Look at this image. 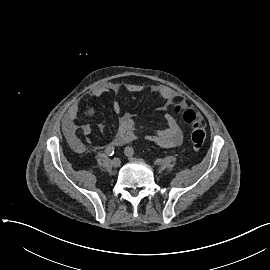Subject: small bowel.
Returning a JSON list of instances; mask_svg holds the SVG:
<instances>
[{"instance_id":"small-bowel-1","label":"small bowel","mask_w":270,"mask_h":270,"mask_svg":"<svg viewBox=\"0 0 270 270\" xmlns=\"http://www.w3.org/2000/svg\"><path fill=\"white\" fill-rule=\"evenodd\" d=\"M142 89L143 87L138 84H131L126 87H121L115 83H107L93 89L88 94V98H97L107 93L118 95L122 92H138ZM151 92L158 98L165 101V105L162 107V110H167L173 104L176 98V92L163 85L153 87ZM80 107V102L74 103L69 108L65 117V132L70 138L76 137L78 133L88 136L92 132L91 124H80L78 122ZM111 107L113 112L119 115L118 131L113 140V144L115 146H122L138 139L150 141L164 148H175L181 144L183 138V129L172 115L166 114L163 117L164 127L161 129L139 131L134 123L132 114L129 112H122V104L120 100H113ZM97 127L101 132L105 130V125L102 122L98 123Z\"/></svg>"}]
</instances>
